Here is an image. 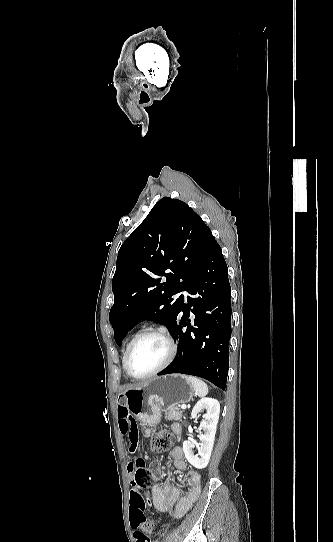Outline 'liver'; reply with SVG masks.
<instances>
[{
    "label": "liver",
    "mask_w": 333,
    "mask_h": 542,
    "mask_svg": "<svg viewBox=\"0 0 333 542\" xmlns=\"http://www.w3.org/2000/svg\"><path fill=\"white\" fill-rule=\"evenodd\" d=\"M128 390H135V388H128ZM126 392H127V390H126Z\"/></svg>",
    "instance_id": "liver-1"
}]
</instances>
